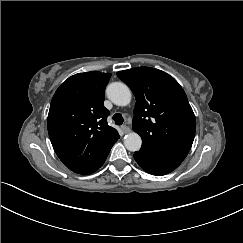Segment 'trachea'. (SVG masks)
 <instances>
[{
	"label": "trachea",
	"mask_w": 243,
	"mask_h": 243,
	"mask_svg": "<svg viewBox=\"0 0 243 243\" xmlns=\"http://www.w3.org/2000/svg\"><path fill=\"white\" fill-rule=\"evenodd\" d=\"M112 118H113L116 125H122L123 124L124 119H123V116L121 114L116 113V114L113 115Z\"/></svg>",
	"instance_id": "obj_1"
}]
</instances>
